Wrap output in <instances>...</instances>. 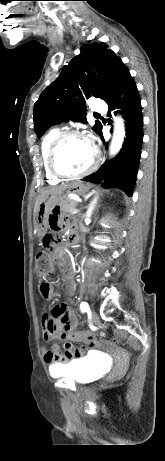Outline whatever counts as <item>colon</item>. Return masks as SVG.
Wrapping results in <instances>:
<instances>
[{"label": "colon", "mask_w": 165, "mask_h": 461, "mask_svg": "<svg viewBox=\"0 0 165 461\" xmlns=\"http://www.w3.org/2000/svg\"><path fill=\"white\" fill-rule=\"evenodd\" d=\"M57 242L56 237L53 234H46L42 240L43 248L37 252L35 256V269L39 277L50 276L54 273L55 267L52 260L49 257V251L53 244ZM60 306L53 308V315H59ZM88 342L93 343L94 337L92 334L87 336ZM114 343H120L118 340H114ZM76 340H66L63 349L68 354L72 355L74 360H77L80 356L84 355L88 349L87 343H80V347L76 348ZM123 355V353H122Z\"/></svg>", "instance_id": "obj_1"}]
</instances>
